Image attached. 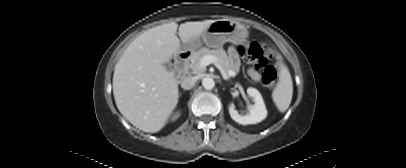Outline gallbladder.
Segmentation results:
<instances>
[{"instance_id": "1", "label": "gallbladder", "mask_w": 406, "mask_h": 168, "mask_svg": "<svg viewBox=\"0 0 406 168\" xmlns=\"http://www.w3.org/2000/svg\"><path fill=\"white\" fill-rule=\"evenodd\" d=\"M164 66L166 67V69H167L168 71H172V70H173V65H172L171 62L165 63Z\"/></svg>"}]
</instances>
